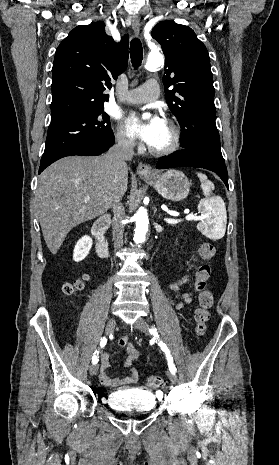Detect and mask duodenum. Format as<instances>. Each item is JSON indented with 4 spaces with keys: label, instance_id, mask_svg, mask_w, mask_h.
<instances>
[{
    "label": "duodenum",
    "instance_id": "410a0bca",
    "mask_svg": "<svg viewBox=\"0 0 279 465\" xmlns=\"http://www.w3.org/2000/svg\"><path fill=\"white\" fill-rule=\"evenodd\" d=\"M109 223L110 217L104 215L94 222L91 229V233L96 240V252L101 258H106L109 254L108 242L105 238V231Z\"/></svg>",
    "mask_w": 279,
    "mask_h": 465
}]
</instances>
